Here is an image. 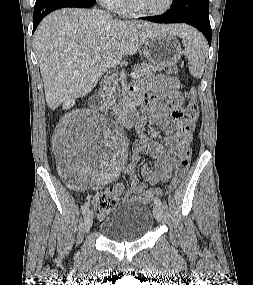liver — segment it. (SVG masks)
Returning <instances> with one entry per match:
<instances>
[{"instance_id": "obj_1", "label": "liver", "mask_w": 253, "mask_h": 285, "mask_svg": "<svg viewBox=\"0 0 253 285\" xmlns=\"http://www.w3.org/2000/svg\"><path fill=\"white\" fill-rule=\"evenodd\" d=\"M189 28L113 20L97 9L52 12L34 34L47 105L55 110L86 96L103 72L135 54L147 38L163 33L181 37Z\"/></svg>"}]
</instances>
